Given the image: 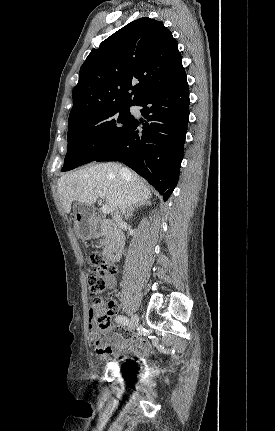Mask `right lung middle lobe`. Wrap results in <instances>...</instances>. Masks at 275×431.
Segmentation results:
<instances>
[{"instance_id":"right-lung-middle-lobe-1","label":"right lung middle lobe","mask_w":275,"mask_h":431,"mask_svg":"<svg viewBox=\"0 0 275 431\" xmlns=\"http://www.w3.org/2000/svg\"><path fill=\"white\" fill-rule=\"evenodd\" d=\"M116 105L68 123V150L62 171L95 161L134 121L129 107Z\"/></svg>"}]
</instances>
